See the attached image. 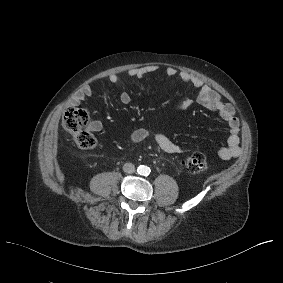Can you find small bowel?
<instances>
[{
  "label": "small bowel",
  "instance_id": "c3829d8e",
  "mask_svg": "<svg viewBox=\"0 0 283 283\" xmlns=\"http://www.w3.org/2000/svg\"><path fill=\"white\" fill-rule=\"evenodd\" d=\"M157 70L156 65H148L145 67L133 68L128 71V77L131 78H143L147 74L155 72ZM166 75L169 78H177L185 84H188L197 89V96L195 99H186L182 103L183 109H188L194 103H197L209 110L218 112L221 118L227 123L229 128V137L226 145L222 146L218 150V156L223 160H228L238 156L242 149L240 146V123L236 116L235 108L232 104L223 100L222 96L210 86L206 85L202 79L192 75L186 71H178L176 68L169 67L166 70ZM105 81L108 84H116L119 81L117 74L109 75ZM93 94V87L91 85H85L82 89L77 91L71 98V105L78 106L86 98ZM131 96L127 92H123L120 95V102L122 104H129ZM102 125L99 121L95 120L91 122L90 129L94 132L100 131ZM149 136V131L145 128H139L134 130L129 139L132 143H139ZM154 139L157 145L166 153L180 154L187 152V149L180 146L168 138L165 134L157 132L154 134Z\"/></svg>",
  "mask_w": 283,
  "mask_h": 283
}]
</instances>
